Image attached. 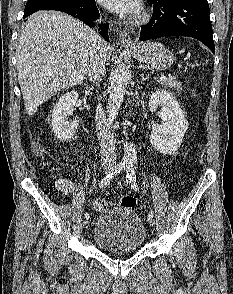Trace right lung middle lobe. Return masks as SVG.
I'll return each instance as SVG.
<instances>
[{
	"instance_id": "right-lung-middle-lobe-1",
	"label": "right lung middle lobe",
	"mask_w": 233,
	"mask_h": 294,
	"mask_svg": "<svg viewBox=\"0 0 233 294\" xmlns=\"http://www.w3.org/2000/svg\"><path fill=\"white\" fill-rule=\"evenodd\" d=\"M75 0H28L25 6L24 17L38 11L39 9L63 2H73Z\"/></svg>"
}]
</instances>
